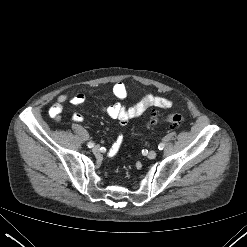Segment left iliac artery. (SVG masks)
Masks as SVG:
<instances>
[{"label": "left iliac artery", "mask_w": 247, "mask_h": 247, "mask_svg": "<svg viewBox=\"0 0 247 247\" xmlns=\"http://www.w3.org/2000/svg\"><path fill=\"white\" fill-rule=\"evenodd\" d=\"M164 147H165V144H164V143H160V144L158 145V149H159V150H162Z\"/></svg>", "instance_id": "44dca946"}]
</instances>
